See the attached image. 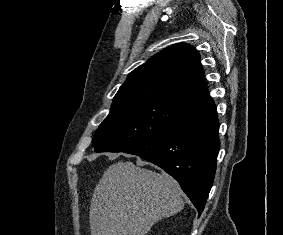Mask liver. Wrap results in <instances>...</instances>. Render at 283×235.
Returning <instances> with one entry per match:
<instances>
[{"label":"liver","instance_id":"6515ba94","mask_svg":"<svg viewBox=\"0 0 283 235\" xmlns=\"http://www.w3.org/2000/svg\"><path fill=\"white\" fill-rule=\"evenodd\" d=\"M144 164L120 161L106 169L91 200V235H145L156 222L182 210L177 181L141 168Z\"/></svg>","mask_w":283,"mask_h":235}]
</instances>
